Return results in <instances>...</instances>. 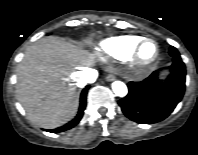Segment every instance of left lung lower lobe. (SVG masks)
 Listing matches in <instances>:
<instances>
[{"mask_svg":"<svg viewBox=\"0 0 198 155\" xmlns=\"http://www.w3.org/2000/svg\"><path fill=\"white\" fill-rule=\"evenodd\" d=\"M185 66L173 58L166 78L154 73L143 82H130L128 95L119 101L123 113L132 121L152 124L165 119L181 101L185 88Z\"/></svg>","mask_w":198,"mask_h":155,"instance_id":"left-lung-lower-lobe-1","label":"left lung lower lobe"}]
</instances>
